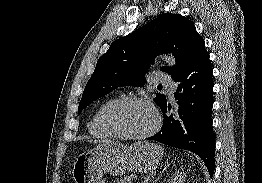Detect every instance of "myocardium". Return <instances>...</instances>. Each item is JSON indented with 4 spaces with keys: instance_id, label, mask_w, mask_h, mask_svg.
<instances>
[{
    "instance_id": "1",
    "label": "myocardium",
    "mask_w": 262,
    "mask_h": 183,
    "mask_svg": "<svg viewBox=\"0 0 262 183\" xmlns=\"http://www.w3.org/2000/svg\"><path fill=\"white\" fill-rule=\"evenodd\" d=\"M131 104H143L151 108L155 115V123L153 127L146 133L140 135H130L121 132L113 123V117L121 109ZM103 123L107 131L114 137L124 140H144L153 136L160 128L161 115L156 106L149 100L140 97H124L113 103L107 108L103 116Z\"/></svg>"
}]
</instances>
